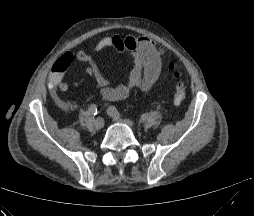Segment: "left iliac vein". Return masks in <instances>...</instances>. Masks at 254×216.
<instances>
[{
    "label": "left iliac vein",
    "instance_id": "1",
    "mask_svg": "<svg viewBox=\"0 0 254 216\" xmlns=\"http://www.w3.org/2000/svg\"><path fill=\"white\" fill-rule=\"evenodd\" d=\"M108 114L113 118V120H115L117 122L125 123L129 126L133 125L132 121L128 118H123V117H120V116H116V115H114L113 113H111L109 111H108Z\"/></svg>",
    "mask_w": 254,
    "mask_h": 216
}]
</instances>
